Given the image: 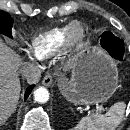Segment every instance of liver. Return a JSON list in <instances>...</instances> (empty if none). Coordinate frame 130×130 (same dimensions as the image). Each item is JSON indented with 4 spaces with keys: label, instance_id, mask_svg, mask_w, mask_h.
<instances>
[{
    "label": "liver",
    "instance_id": "6515ba94",
    "mask_svg": "<svg viewBox=\"0 0 130 130\" xmlns=\"http://www.w3.org/2000/svg\"><path fill=\"white\" fill-rule=\"evenodd\" d=\"M19 65V59L0 41V125L15 111L20 97Z\"/></svg>",
    "mask_w": 130,
    "mask_h": 130
}]
</instances>
